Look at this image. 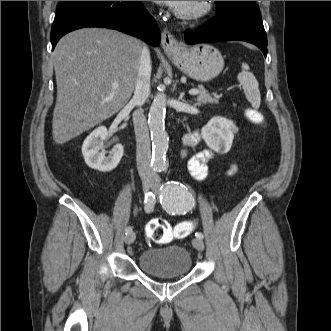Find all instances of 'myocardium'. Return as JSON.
Masks as SVG:
<instances>
[{"mask_svg":"<svg viewBox=\"0 0 331 331\" xmlns=\"http://www.w3.org/2000/svg\"><path fill=\"white\" fill-rule=\"evenodd\" d=\"M212 1H197L193 8L191 9H175V14L177 17L184 20H194L206 15L211 10Z\"/></svg>","mask_w":331,"mask_h":331,"instance_id":"f54148a6","label":"myocardium"}]
</instances>
